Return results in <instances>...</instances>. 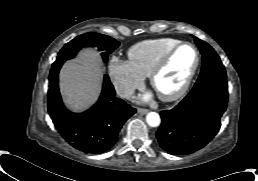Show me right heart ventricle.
Returning a JSON list of instances; mask_svg holds the SVG:
<instances>
[{
    "instance_id": "obj_1",
    "label": "right heart ventricle",
    "mask_w": 258,
    "mask_h": 181,
    "mask_svg": "<svg viewBox=\"0 0 258 181\" xmlns=\"http://www.w3.org/2000/svg\"><path fill=\"white\" fill-rule=\"evenodd\" d=\"M174 38H158L139 42L128 50V63L143 78L148 77L159 58L179 43Z\"/></svg>"
}]
</instances>
